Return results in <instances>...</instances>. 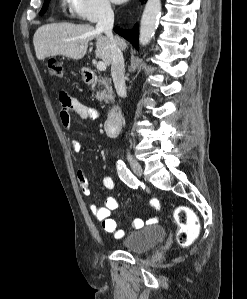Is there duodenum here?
Returning a JSON list of instances; mask_svg holds the SVG:
<instances>
[{
    "label": "duodenum",
    "mask_w": 247,
    "mask_h": 299,
    "mask_svg": "<svg viewBox=\"0 0 247 299\" xmlns=\"http://www.w3.org/2000/svg\"><path fill=\"white\" fill-rule=\"evenodd\" d=\"M84 76L86 81L91 82L93 80V72L89 68H84ZM121 124V110L118 106H114L108 113L105 120V131L109 136H115L120 128Z\"/></svg>",
    "instance_id": "1"
}]
</instances>
